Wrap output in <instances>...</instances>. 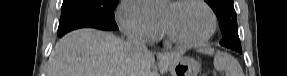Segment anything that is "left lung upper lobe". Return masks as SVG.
Instances as JSON below:
<instances>
[{"label": "left lung upper lobe", "instance_id": "5c2ea615", "mask_svg": "<svg viewBox=\"0 0 287 76\" xmlns=\"http://www.w3.org/2000/svg\"><path fill=\"white\" fill-rule=\"evenodd\" d=\"M214 10L220 21L223 39L220 44L231 48H241L237 31L236 13L233 0H205Z\"/></svg>", "mask_w": 287, "mask_h": 76}]
</instances>
